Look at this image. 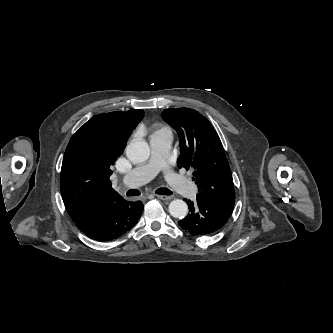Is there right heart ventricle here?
<instances>
[{
    "label": "right heart ventricle",
    "instance_id": "1",
    "mask_svg": "<svg viewBox=\"0 0 333 333\" xmlns=\"http://www.w3.org/2000/svg\"><path fill=\"white\" fill-rule=\"evenodd\" d=\"M160 131H167V129H162V130H160Z\"/></svg>",
    "mask_w": 333,
    "mask_h": 333
}]
</instances>
